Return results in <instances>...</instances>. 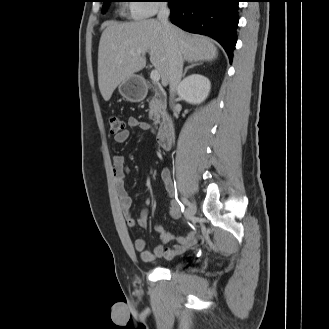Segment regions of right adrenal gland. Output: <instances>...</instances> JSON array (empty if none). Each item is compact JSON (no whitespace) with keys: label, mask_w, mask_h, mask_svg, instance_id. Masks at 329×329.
<instances>
[{"label":"right adrenal gland","mask_w":329,"mask_h":329,"mask_svg":"<svg viewBox=\"0 0 329 329\" xmlns=\"http://www.w3.org/2000/svg\"><path fill=\"white\" fill-rule=\"evenodd\" d=\"M199 65H202V63H192L191 65L187 66L184 70L183 77H185V75L189 69L194 68L195 66H199Z\"/></svg>","instance_id":"2a0ac1e0"}]
</instances>
